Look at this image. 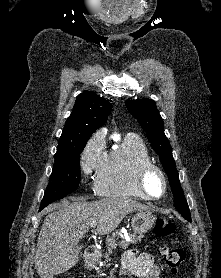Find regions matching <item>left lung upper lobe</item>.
I'll list each match as a JSON object with an SVG mask.
<instances>
[{
	"label": "left lung upper lobe",
	"instance_id": "5c2ea615",
	"mask_svg": "<svg viewBox=\"0 0 221 278\" xmlns=\"http://www.w3.org/2000/svg\"><path fill=\"white\" fill-rule=\"evenodd\" d=\"M126 107L146 131L153 150L159 155L160 161L168 175L174 196L175 208L182 216L191 217L184 192L180 186L178 171L172 156V149L168 138L164 134L163 120L157 110L156 103L151 99L128 100Z\"/></svg>",
	"mask_w": 221,
	"mask_h": 278
}]
</instances>
